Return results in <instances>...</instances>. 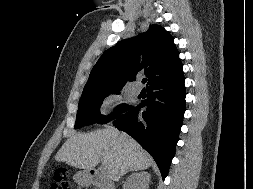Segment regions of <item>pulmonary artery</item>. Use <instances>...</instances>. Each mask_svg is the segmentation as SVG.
Instances as JSON below:
<instances>
[{
	"instance_id": "obj_1",
	"label": "pulmonary artery",
	"mask_w": 253,
	"mask_h": 189,
	"mask_svg": "<svg viewBox=\"0 0 253 189\" xmlns=\"http://www.w3.org/2000/svg\"><path fill=\"white\" fill-rule=\"evenodd\" d=\"M141 90H142L141 83L136 82L133 86V93L138 95V94H140Z\"/></svg>"
}]
</instances>
